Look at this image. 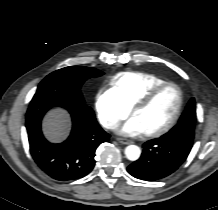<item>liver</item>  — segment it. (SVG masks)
Segmentation results:
<instances>
[{
	"label": "liver",
	"mask_w": 218,
	"mask_h": 210,
	"mask_svg": "<svg viewBox=\"0 0 218 210\" xmlns=\"http://www.w3.org/2000/svg\"><path fill=\"white\" fill-rule=\"evenodd\" d=\"M69 126V115L61 109L51 110L43 121L44 134L51 141L63 139L67 135Z\"/></svg>",
	"instance_id": "1"
}]
</instances>
